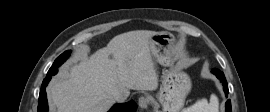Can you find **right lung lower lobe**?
<instances>
[{"label": "right lung lower lobe", "mask_w": 270, "mask_h": 112, "mask_svg": "<svg viewBox=\"0 0 270 112\" xmlns=\"http://www.w3.org/2000/svg\"><path fill=\"white\" fill-rule=\"evenodd\" d=\"M55 69L48 71L46 78L43 80L38 102V111L37 112H48V103L46 97V86L51 79V76L54 75ZM56 74V73H55ZM136 104L134 101H129L123 104H115L109 112H135Z\"/></svg>", "instance_id": "obj_1"}]
</instances>
